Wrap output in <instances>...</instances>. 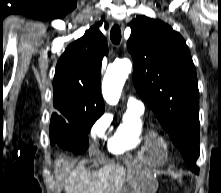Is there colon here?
I'll return each mask as SVG.
<instances>
[{
	"mask_svg": "<svg viewBox=\"0 0 221 193\" xmlns=\"http://www.w3.org/2000/svg\"><path fill=\"white\" fill-rule=\"evenodd\" d=\"M179 185H180V184L177 182V183H176V186H179Z\"/></svg>",
	"mask_w": 221,
	"mask_h": 193,
	"instance_id": "1",
	"label": "colon"
}]
</instances>
